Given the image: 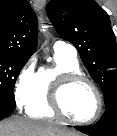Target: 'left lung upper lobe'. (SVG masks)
<instances>
[{
	"mask_svg": "<svg viewBox=\"0 0 117 136\" xmlns=\"http://www.w3.org/2000/svg\"><path fill=\"white\" fill-rule=\"evenodd\" d=\"M46 11L61 38L77 48L109 107L117 101V45L108 14L94 0H50Z\"/></svg>",
	"mask_w": 117,
	"mask_h": 136,
	"instance_id": "5c2ea615",
	"label": "left lung upper lobe"
}]
</instances>
